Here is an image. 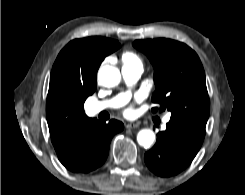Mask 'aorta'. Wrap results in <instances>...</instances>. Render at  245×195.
<instances>
[{"label":"aorta","instance_id":"obj_1","mask_svg":"<svg viewBox=\"0 0 245 195\" xmlns=\"http://www.w3.org/2000/svg\"><path fill=\"white\" fill-rule=\"evenodd\" d=\"M98 79L105 87H114L120 83L121 74L118 68L105 65L98 72ZM155 141V134L150 129H142L137 134V142L144 148H149Z\"/></svg>","mask_w":245,"mask_h":195}]
</instances>
